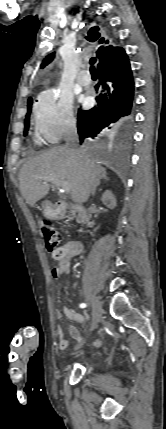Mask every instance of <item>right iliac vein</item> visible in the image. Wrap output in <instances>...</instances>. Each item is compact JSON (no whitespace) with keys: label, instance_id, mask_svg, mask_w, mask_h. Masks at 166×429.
I'll list each match as a JSON object with an SVG mask.
<instances>
[{"label":"right iliac vein","instance_id":"obj_1","mask_svg":"<svg viewBox=\"0 0 166 429\" xmlns=\"http://www.w3.org/2000/svg\"><path fill=\"white\" fill-rule=\"evenodd\" d=\"M101 320V307L97 301L96 298H93L92 300V324H91V328L90 331H93L97 326L98 323ZM82 344H78L76 346V349L80 348Z\"/></svg>","mask_w":166,"mask_h":429}]
</instances>
